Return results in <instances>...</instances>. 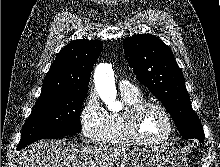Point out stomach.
I'll list each match as a JSON object with an SVG mask.
<instances>
[{"mask_svg": "<svg viewBox=\"0 0 220 167\" xmlns=\"http://www.w3.org/2000/svg\"><path fill=\"white\" fill-rule=\"evenodd\" d=\"M119 167H189L183 156L166 147L132 149L122 158Z\"/></svg>", "mask_w": 220, "mask_h": 167, "instance_id": "0dacf381", "label": "stomach"}]
</instances>
